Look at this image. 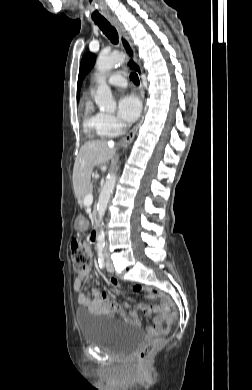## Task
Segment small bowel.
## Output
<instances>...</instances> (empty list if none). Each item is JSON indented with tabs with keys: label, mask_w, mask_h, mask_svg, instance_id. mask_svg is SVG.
I'll return each mask as SVG.
<instances>
[{
	"label": "small bowel",
	"mask_w": 252,
	"mask_h": 390,
	"mask_svg": "<svg viewBox=\"0 0 252 390\" xmlns=\"http://www.w3.org/2000/svg\"><path fill=\"white\" fill-rule=\"evenodd\" d=\"M83 246L87 251L91 252L90 245L87 242H84ZM89 273V269L80 272L75 276L73 281L74 290L79 292L78 303L80 306L97 315L113 316L114 312H117L125 323L134 325H140L141 323V316L139 314V310H141L146 315L154 314L153 325L147 329L148 335L157 336L164 334L169 330L172 321L163 304L151 307L140 304L136 309L131 308L129 304H126V307L130 309L129 314L127 315L125 311L115 303L112 297L105 292L96 289L91 290L90 293L82 292ZM114 282L118 285L116 279L111 280V283Z\"/></svg>",
	"instance_id": "small-bowel-1"
}]
</instances>
